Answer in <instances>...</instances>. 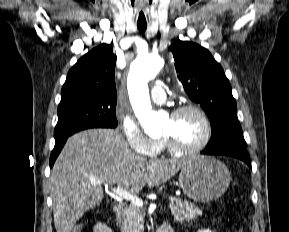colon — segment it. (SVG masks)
Listing matches in <instances>:
<instances>
[{
  "label": "colon",
  "mask_w": 289,
  "mask_h": 232,
  "mask_svg": "<svg viewBox=\"0 0 289 232\" xmlns=\"http://www.w3.org/2000/svg\"><path fill=\"white\" fill-rule=\"evenodd\" d=\"M71 232H81V226L80 225L75 226ZM236 232H242V230L236 229Z\"/></svg>",
  "instance_id": "1"
}]
</instances>
